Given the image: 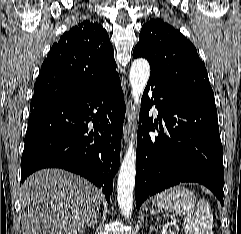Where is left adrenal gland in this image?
<instances>
[{
  "label": "left adrenal gland",
  "instance_id": "left-adrenal-gland-1",
  "mask_svg": "<svg viewBox=\"0 0 241 234\" xmlns=\"http://www.w3.org/2000/svg\"><path fill=\"white\" fill-rule=\"evenodd\" d=\"M153 230H155V226H154V225H151V226H150L149 234H151V232H152Z\"/></svg>",
  "mask_w": 241,
  "mask_h": 234
}]
</instances>
